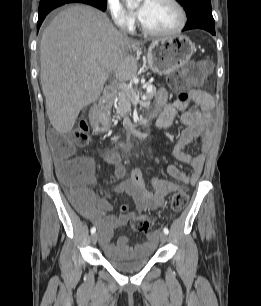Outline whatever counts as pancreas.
Wrapping results in <instances>:
<instances>
[{
	"label": "pancreas",
	"instance_id": "obj_1",
	"mask_svg": "<svg viewBox=\"0 0 261 306\" xmlns=\"http://www.w3.org/2000/svg\"><path fill=\"white\" fill-rule=\"evenodd\" d=\"M149 91L146 92V99L151 100L156 95V87L152 84L148 85ZM133 92L120 90L118 93V108L116 110L118 118H126L131 112L132 104H136V97L142 95L137 88H132Z\"/></svg>",
	"mask_w": 261,
	"mask_h": 306
}]
</instances>
